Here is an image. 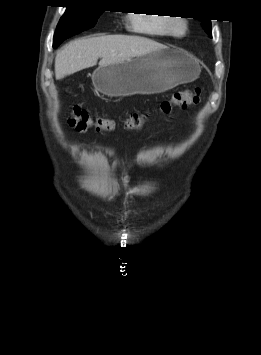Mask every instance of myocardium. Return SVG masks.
<instances>
[{
	"label": "myocardium",
	"instance_id": "f54148a6",
	"mask_svg": "<svg viewBox=\"0 0 261 355\" xmlns=\"http://www.w3.org/2000/svg\"><path fill=\"white\" fill-rule=\"evenodd\" d=\"M169 34L181 38L184 37L188 32V22L185 19L177 18L170 19L168 23Z\"/></svg>",
	"mask_w": 261,
	"mask_h": 355
}]
</instances>
